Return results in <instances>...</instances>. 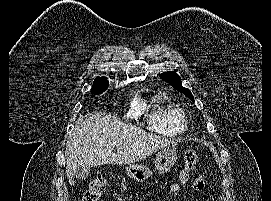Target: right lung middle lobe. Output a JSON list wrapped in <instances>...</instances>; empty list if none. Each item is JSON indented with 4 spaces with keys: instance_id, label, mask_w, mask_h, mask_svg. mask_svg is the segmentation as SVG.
I'll list each match as a JSON object with an SVG mask.
<instances>
[{
    "instance_id": "dd1d6c3e",
    "label": "right lung middle lobe",
    "mask_w": 271,
    "mask_h": 201,
    "mask_svg": "<svg viewBox=\"0 0 271 201\" xmlns=\"http://www.w3.org/2000/svg\"><path fill=\"white\" fill-rule=\"evenodd\" d=\"M108 85L109 83L106 78H96L94 80L91 92L98 95L104 92L107 89Z\"/></svg>"
}]
</instances>
